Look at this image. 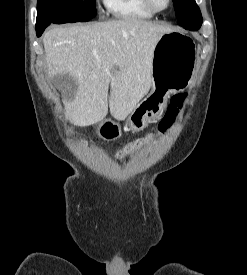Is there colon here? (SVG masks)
Segmentation results:
<instances>
[{"instance_id":"obj_1","label":"colon","mask_w":247,"mask_h":275,"mask_svg":"<svg viewBox=\"0 0 247 275\" xmlns=\"http://www.w3.org/2000/svg\"><path fill=\"white\" fill-rule=\"evenodd\" d=\"M185 99V95L179 94L172 97L171 102L168 106V109L162 118L161 122L159 123V134L166 133L175 123L176 117L179 113V110L182 108L183 102ZM153 135H149L143 138H139L133 142H130L123 146L118 152L117 157L122 158L131 151L135 150L136 148L143 146L151 141Z\"/></svg>"}]
</instances>
